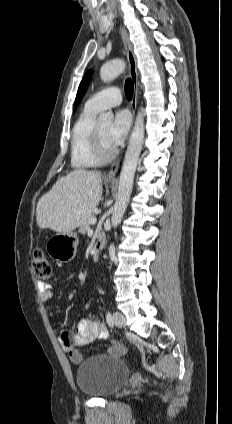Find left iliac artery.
I'll return each mask as SVG.
<instances>
[{"label":"left iliac artery","instance_id":"1","mask_svg":"<svg viewBox=\"0 0 232 424\" xmlns=\"http://www.w3.org/2000/svg\"><path fill=\"white\" fill-rule=\"evenodd\" d=\"M106 321H107L109 326H111V327L114 326V320H113V317H112L110 312H107V314H106Z\"/></svg>","mask_w":232,"mask_h":424}]
</instances>
